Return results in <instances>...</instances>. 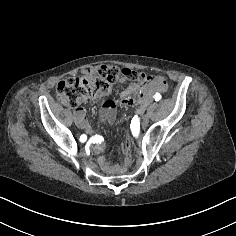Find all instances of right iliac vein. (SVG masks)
Returning a JSON list of instances; mask_svg holds the SVG:
<instances>
[{
    "instance_id": "obj_1",
    "label": "right iliac vein",
    "mask_w": 236,
    "mask_h": 236,
    "mask_svg": "<svg viewBox=\"0 0 236 236\" xmlns=\"http://www.w3.org/2000/svg\"><path fill=\"white\" fill-rule=\"evenodd\" d=\"M87 133H92V128H87Z\"/></svg>"
}]
</instances>
